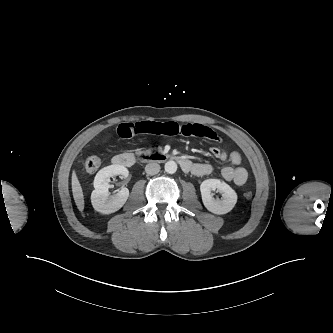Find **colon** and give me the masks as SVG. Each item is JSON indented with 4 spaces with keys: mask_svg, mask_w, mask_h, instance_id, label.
<instances>
[{
    "mask_svg": "<svg viewBox=\"0 0 333 333\" xmlns=\"http://www.w3.org/2000/svg\"><path fill=\"white\" fill-rule=\"evenodd\" d=\"M101 165V160L97 156H89L85 159L84 161V169L87 173H94L96 172ZM244 197L246 199H251L252 198V193L251 192H245Z\"/></svg>",
    "mask_w": 333,
    "mask_h": 333,
    "instance_id": "obj_1",
    "label": "colon"
}]
</instances>
